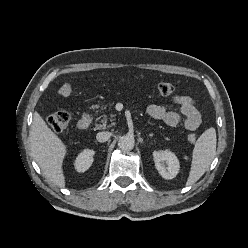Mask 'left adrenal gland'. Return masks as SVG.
<instances>
[{
	"label": "left adrenal gland",
	"mask_w": 248,
	"mask_h": 248,
	"mask_svg": "<svg viewBox=\"0 0 248 248\" xmlns=\"http://www.w3.org/2000/svg\"><path fill=\"white\" fill-rule=\"evenodd\" d=\"M149 136H150V137H152V136H153V134H150Z\"/></svg>",
	"instance_id": "1"
}]
</instances>
